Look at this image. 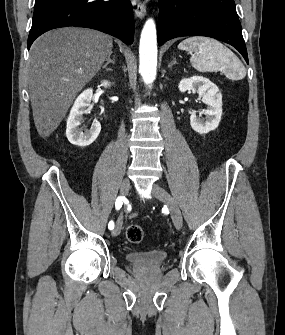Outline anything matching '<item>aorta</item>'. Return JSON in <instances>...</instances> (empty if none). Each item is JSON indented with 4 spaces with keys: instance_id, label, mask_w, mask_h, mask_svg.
I'll use <instances>...</instances> for the list:
<instances>
[{
    "instance_id": "aorta-1",
    "label": "aorta",
    "mask_w": 285,
    "mask_h": 335,
    "mask_svg": "<svg viewBox=\"0 0 285 335\" xmlns=\"http://www.w3.org/2000/svg\"><path fill=\"white\" fill-rule=\"evenodd\" d=\"M139 72L145 84H152L156 80L157 70V38L153 20H147L140 38Z\"/></svg>"
}]
</instances>
